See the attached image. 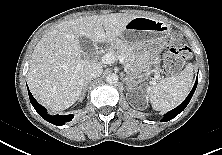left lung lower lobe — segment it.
Listing matches in <instances>:
<instances>
[{
    "label": "left lung lower lobe",
    "mask_w": 222,
    "mask_h": 155,
    "mask_svg": "<svg viewBox=\"0 0 222 155\" xmlns=\"http://www.w3.org/2000/svg\"><path fill=\"white\" fill-rule=\"evenodd\" d=\"M197 82H198V79H196V82H195L191 92L187 96V98L178 107H176L175 109L166 113L164 115V117L162 118L161 122H165V121H169V120L173 119L174 117H176L180 112H182L186 108V106L190 102V100L195 92V89L197 87Z\"/></svg>",
    "instance_id": "0a47b994"
}]
</instances>
